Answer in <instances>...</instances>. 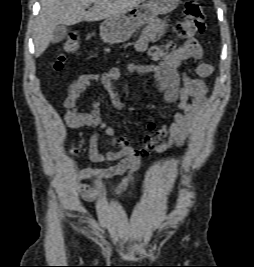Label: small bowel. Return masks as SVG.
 Listing matches in <instances>:
<instances>
[{"label":"small bowel","instance_id":"c3829d8e","mask_svg":"<svg viewBox=\"0 0 254 267\" xmlns=\"http://www.w3.org/2000/svg\"><path fill=\"white\" fill-rule=\"evenodd\" d=\"M164 26L165 24L161 19L152 21L137 41V49L144 50L164 29ZM186 61L194 64L197 77H191L180 71L182 63ZM128 70L139 74L152 73L163 94L164 103L169 106L176 104L177 108L173 122L170 125L164 124L159 130L155 131V123L152 119L148 120L146 128L149 134L144 138L141 148L132 146L126 136L116 137L113 127L101 117L98 102L92 103V111L90 112L80 111L77 105L88 87L93 82H98L107 92L112 107L115 110H122L124 104L115 86V82L124 72L122 69L113 67L103 74L87 73L81 75L70 86L63 103L64 120L69 127L98 129L106 137L104 142L98 133L91 136L89 142L90 161L93 163L118 161L117 164L107 168H85L79 172V179H108L127 171L132 172L114 187L111 192L112 197L119 196L126 191L134 180V173L139 169L141 159L144 156L150 153H162L173 146L180 147L184 144L187 134L198 123L208 100L209 88L204 79L213 73V67L203 61L202 48L195 39L186 41L158 65H130ZM167 132L169 137L161 141ZM103 142L108 148L106 152L100 150ZM78 191L82 198L89 202H94L105 196L100 191L89 189L84 183L78 185Z\"/></svg>","mask_w":254,"mask_h":267}]
</instances>
